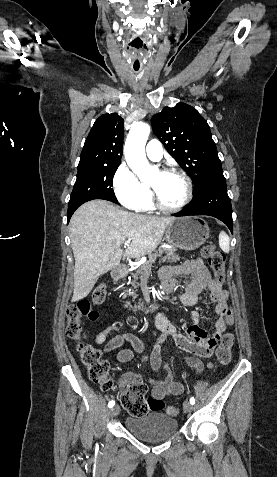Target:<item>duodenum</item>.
I'll use <instances>...</instances> for the list:
<instances>
[{
	"label": "duodenum",
	"mask_w": 277,
	"mask_h": 477,
	"mask_svg": "<svg viewBox=\"0 0 277 477\" xmlns=\"http://www.w3.org/2000/svg\"><path fill=\"white\" fill-rule=\"evenodd\" d=\"M128 275V269L124 266H119L113 271V278L120 282ZM159 307V302L157 300H152L149 303L144 304L139 308V311L142 313L153 312Z\"/></svg>",
	"instance_id": "duodenum-1"
}]
</instances>
